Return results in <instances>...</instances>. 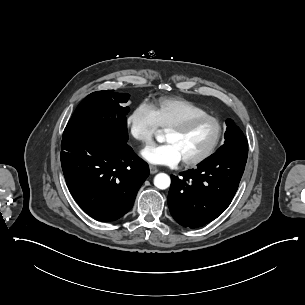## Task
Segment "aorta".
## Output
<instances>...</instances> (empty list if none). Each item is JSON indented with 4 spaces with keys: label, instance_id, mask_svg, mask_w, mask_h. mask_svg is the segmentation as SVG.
Instances as JSON below:
<instances>
[{
    "label": "aorta",
    "instance_id": "aorta-1",
    "mask_svg": "<svg viewBox=\"0 0 305 305\" xmlns=\"http://www.w3.org/2000/svg\"><path fill=\"white\" fill-rule=\"evenodd\" d=\"M171 184L169 175L165 173H159L154 177V185L159 189H167Z\"/></svg>",
    "mask_w": 305,
    "mask_h": 305
}]
</instances>
